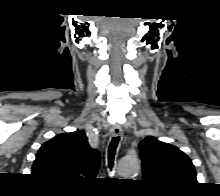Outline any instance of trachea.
Instances as JSON below:
<instances>
[{"mask_svg": "<svg viewBox=\"0 0 220 196\" xmlns=\"http://www.w3.org/2000/svg\"><path fill=\"white\" fill-rule=\"evenodd\" d=\"M120 141V137H113L109 147H108V166L110 168V170H112L113 164H114V157H115V153H116V149L118 147Z\"/></svg>", "mask_w": 220, "mask_h": 196, "instance_id": "3493384b", "label": "trachea"}]
</instances>
